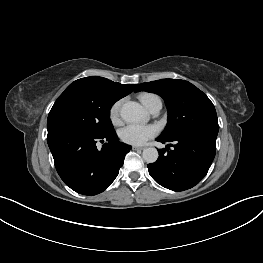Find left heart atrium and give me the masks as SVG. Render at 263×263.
Wrapping results in <instances>:
<instances>
[{
	"label": "left heart atrium",
	"instance_id": "left-heart-atrium-1",
	"mask_svg": "<svg viewBox=\"0 0 263 263\" xmlns=\"http://www.w3.org/2000/svg\"><path fill=\"white\" fill-rule=\"evenodd\" d=\"M157 134L153 125L130 124L120 131L123 142L131 145H142Z\"/></svg>",
	"mask_w": 263,
	"mask_h": 263
}]
</instances>
